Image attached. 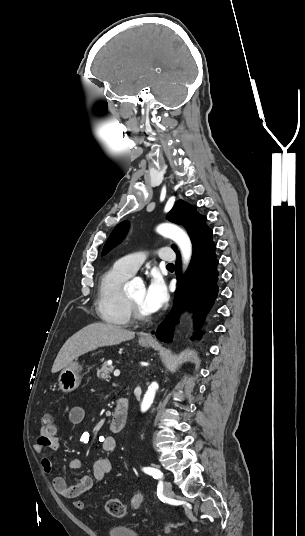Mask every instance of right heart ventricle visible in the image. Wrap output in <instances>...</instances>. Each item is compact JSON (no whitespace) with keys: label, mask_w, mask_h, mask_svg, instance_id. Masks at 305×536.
Instances as JSON below:
<instances>
[{"label":"right heart ventricle","mask_w":305,"mask_h":536,"mask_svg":"<svg viewBox=\"0 0 305 536\" xmlns=\"http://www.w3.org/2000/svg\"><path fill=\"white\" fill-rule=\"evenodd\" d=\"M130 278L115 266L101 277L96 310L99 317L107 323L128 327L132 323L130 313L124 298V283Z\"/></svg>","instance_id":"obj_1"}]
</instances>
